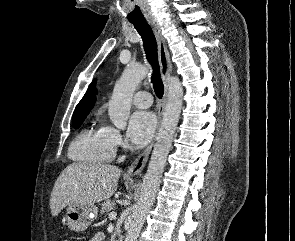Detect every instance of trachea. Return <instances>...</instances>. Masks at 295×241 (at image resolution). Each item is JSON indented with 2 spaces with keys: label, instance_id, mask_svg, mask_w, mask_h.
I'll return each mask as SVG.
<instances>
[{
  "label": "trachea",
  "instance_id": "1",
  "mask_svg": "<svg viewBox=\"0 0 295 241\" xmlns=\"http://www.w3.org/2000/svg\"><path fill=\"white\" fill-rule=\"evenodd\" d=\"M143 40L146 58L153 68L151 82L156 96L161 99L164 94V86L160 79V68L158 63L157 42L151 27L146 20L131 21Z\"/></svg>",
  "mask_w": 295,
  "mask_h": 241
}]
</instances>
